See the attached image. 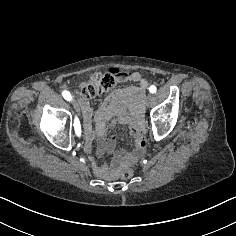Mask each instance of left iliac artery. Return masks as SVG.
Returning <instances> with one entry per match:
<instances>
[{
	"label": "left iliac artery",
	"instance_id": "obj_1",
	"mask_svg": "<svg viewBox=\"0 0 236 236\" xmlns=\"http://www.w3.org/2000/svg\"><path fill=\"white\" fill-rule=\"evenodd\" d=\"M149 91L151 93H156V87L154 85H151L150 88H149Z\"/></svg>",
	"mask_w": 236,
	"mask_h": 236
}]
</instances>
